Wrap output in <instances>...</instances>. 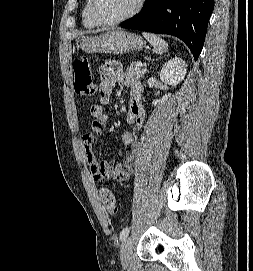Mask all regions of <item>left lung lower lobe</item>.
<instances>
[{
  "label": "left lung lower lobe",
  "instance_id": "obj_1",
  "mask_svg": "<svg viewBox=\"0 0 253 271\" xmlns=\"http://www.w3.org/2000/svg\"><path fill=\"white\" fill-rule=\"evenodd\" d=\"M214 0H146L142 11L122 28L169 34L180 38L197 60Z\"/></svg>",
  "mask_w": 253,
  "mask_h": 271
}]
</instances>
